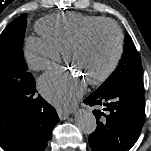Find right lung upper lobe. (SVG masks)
<instances>
[{
    "label": "right lung upper lobe",
    "mask_w": 151,
    "mask_h": 151,
    "mask_svg": "<svg viewBox=\"0 0 151 151\" xmlns=\"http://www.w3.org/2000/svg\"><path fill=\"white\" fill-rule=\"evenodd\" d=\"M17 117L16 107L0 104V146L6 151H11L15 145Z\"/></svg>",
    "instance_id": "1"
}]
</instances>
